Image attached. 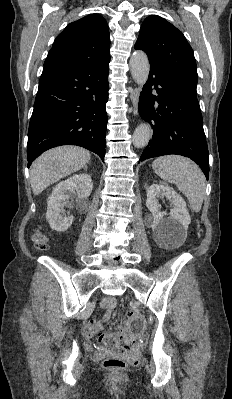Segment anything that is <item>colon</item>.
I'll return each mask as SVG.
<instances>
[{
	"mask_svg": "<svg viewBox=\"0 0 232 399\" xmlns=\"http://www.w3.org/2000/svg\"><path fill=\"white\" fill-rule=\"evenodd\" d=\"M32 239L37 251L46 252L50 248L48 237L36 230ZM144 318L142 313H129L123 330H112L106 334L105 330H96L98 345L97 353H139V346L135 337H142ZM127 365L125 355H106L101 361V368H113L114 374L120 373V368Z\"/></svg>",
	"mask_w": 232,
	"mask_h": 399,
	"instance_id": "5ec220e1",
	"label": "colon"
}]
</instances>
